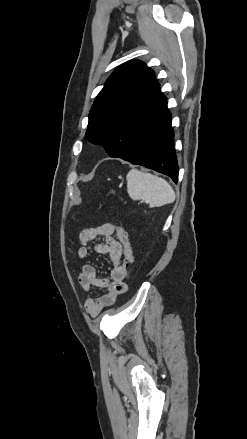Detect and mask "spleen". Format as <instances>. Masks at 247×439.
I'll return each instance as SVG.
<instances>
[{"instance_id": "3e777b00", "label": "spleen", "mask_w": 247, "mask_h": 439, "mask_svg": "<svg viewBox=\"0 0 247 439\" xmlns=\"http://www.w3.org/2000/svg\"><path fill=\"white\" fill-rule=\"evenodd\" d=\"M127 192L132 200H141L150 208L161 207L175 200V192L163 178L131 169L127 174Z\"/></svg>"}]
</instances>
